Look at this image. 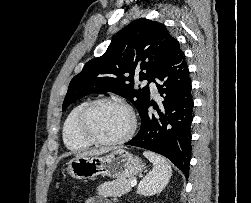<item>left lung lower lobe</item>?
<instances>
[{
	"instance_id": "1",
	"label": "left lung lower lobe",
	"mask_w": 251,
	"mask_h": 203,
	"mask_svg": "<svg viewBox=\"0 0 251 203\" xmlns=\"http://www.w3.org/2000/svg\"><path fill=\"white\" fill-rule=\"evenodd\" d=\"M155 78L157 82L155 79L153 82L164 98L163 106L158 108L149 100L140 113L141 127L138 134L125 144L167 157L188 177L194 103L185 55L177 40ZM149 106H153L156 114L148 112Z\"/></svg>"
}]
</instances>
